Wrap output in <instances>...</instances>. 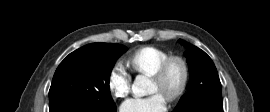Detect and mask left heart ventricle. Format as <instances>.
I'll use <instances>...</instances> for the list:
<instances>
[{"mask_svg": "<svg viewBox=\"0 0 270 112\" xmlns=\"http://www.w3.org/2000/svg\"><path fill=\"white\" fill-rule=\"evenodd\" d=\"M180 75H181L180 68L178 66H174L170 71L166 84L160 85L154 79L151 80L149 93L150 94L159 93L166 99L167 94L171 90H173L178 84Z\"/></svg>", "mask_w": 270, "mask_h": 112, "instance_id": "1", "label": "left heart ventricle"}]
</instances>
